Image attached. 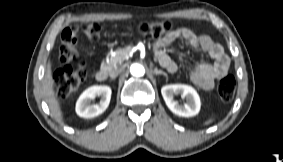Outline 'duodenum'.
<instances>
[{
  "instance_id": "duodenum-1",
  "label": "duodenum",
  "mask_w": 283,
  "mask_h": 162,
  "mask_svg": "<svg viewBox=\"0 0 283 162\" xmlns=\"http://www.w3.org/2000/svg\"><path fill=\"white\" fill-rule=\"evenodd\" d=\"M108 77V71L106 68H101L96 73V79L100 82L105 81Z\"/></svg>"
}]
</instances>
